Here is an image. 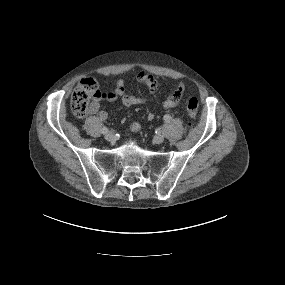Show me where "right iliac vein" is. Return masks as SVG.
I'll use <instances>...</instances> for the list:
<instances>
[{
	"mask_svg": "<svg viewBox=\"0 0 285 285\" xmlns=\"http://www.w3.org/2000/svg\"><path fill=\"white\" fill-rule=\"evenodd\" d=\"M105 139L109 142H113V141H115L116 137H115V134L113 132H108L105 134Z\"/></svg>",
	"mask_w": 285,
	"mask_h": 285,
	"instance_id": "63e3f726",
	"label": "right iliac vein"
}]
</instances>
